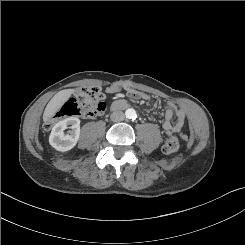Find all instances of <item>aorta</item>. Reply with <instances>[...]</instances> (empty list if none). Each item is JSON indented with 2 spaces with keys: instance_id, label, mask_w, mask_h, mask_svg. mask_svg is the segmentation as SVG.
Wrapping results in <instances>:
<instances>
[{
  "instance_id": "762f6f07",
  "label": "aorta",
  "mask_w": 245,
  "mask_h": 245,
  "mask_svg": "<svg viewBox=\"0 0 245 245\" xmlns=\"http://www.w3.org/2000/svg\"><path fill=\"white\" fill-rule=\"evenodd\" d=\"M125 115L129 119H135L136 118V111L133 108H129L126 110Z\"/></svg>"
}]
</instances>
